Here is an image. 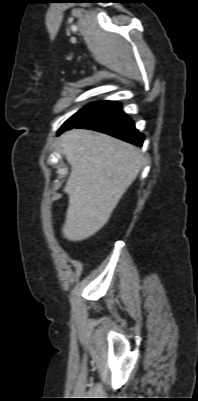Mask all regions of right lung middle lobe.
<instances>
[{"mask_svg": "<svg viewBox=\"0 0 198 401\" xmlns=\"http://www.w3.org/2000/svg\"><path fill=\"white\" fill-rule=\"evenodd\" d=\"M104 101H99L95 103H91L82 109H80L77 113H75L73 116H71L59 129L58 134L74 127L75 125L79 124L86 118H88L90 115H92L102 104Z\"/></svg>", "mask_w": 198, "mask_h": 401, "instance_id": "1", "label": "right lung middle lobe"}]
</instances>
